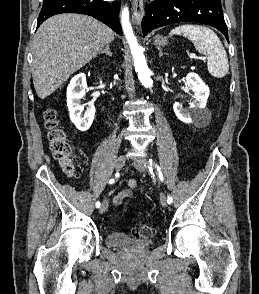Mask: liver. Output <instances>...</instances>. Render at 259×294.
I'll list each match as a JSON object with an SVG mask.
<instances>
[{"instance_id":"1","label":"liver","mask_w":259,"mask_h":294,"mask_svg":"<svg viewBox=\"0 0 259 294\" xmlns=\"http://www.w3.org/2000/svg\"><path fill=\"white\" fill-rule=\"evenodd\" d=\"M114 40L100 21L80 14L47 19L34 39L32 77L36 93L45 99Z\"/></svg>"}]
</instances>
